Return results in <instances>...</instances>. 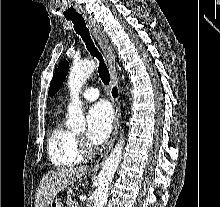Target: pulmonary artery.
Instances as JSON below:
<instances>
[{"label":"pulmonary artery","instance_id":"obj_1","mask_svg":"<svg viewBox=\"0 0 220 207\" xmlns=\"http://www.w3.org/2000/svg\"><path fill=\"white\" fill-rule=\"evenodd\" d=\"M100 92L97 88L88 87L82 92V99L85 101H92L99 97Z\"/></svg>","mask_w":220,"mask_h":207}]
</instances>
